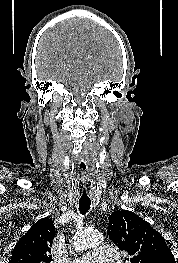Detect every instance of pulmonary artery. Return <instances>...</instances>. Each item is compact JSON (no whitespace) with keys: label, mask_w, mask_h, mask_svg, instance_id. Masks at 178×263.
Returning a JSON list of instances; mask_svg holds the SVG:
<instances>
[{"label":"pulmonary artery","mask_w":178,"mask_h":263,"mask_svg":"<svg viewBox=\"0 0 178 263\" xmlns=\"http://www.w3.org/2000/svg\"><path fill=\"white\" fill-rule=\"evenodd\" d=\"M120 258L119 250L111 247H96L75 258L73 263H112Z\"/></svg>","instance_id":"1"}]
</instances>
